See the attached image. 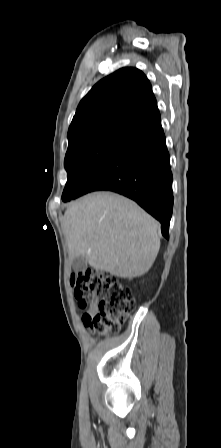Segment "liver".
Masks as SVG:
<instances>
[{"label":"liver","instance_id":"1","mask_svg":"<svg viewBox=\"0 0 221 448\" xmlns=\"http://www.w3.org/2000/svg\"><path fill=\"white\" fill-rule=\"evenodd\" d=\"M62 228L71 259L84 258L96 270L121 278L146 273L160 249V225L135 202L95 192L74 202Z\"/></svg>","mask_w":221,"mask_h":448}]
</instances>
